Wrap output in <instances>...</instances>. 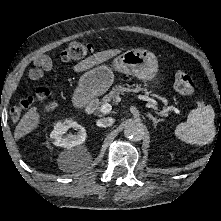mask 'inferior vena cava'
<instances>
[{"mask_svg": "<svg viewBox=\"0 0 221 221\" xmlns=\"http://www.w3.org/2000/svg\"><path fill=\"white\" fill-rule=\"evenodd\" d=\"M114 123V120L112 118H101L97 121V125L100 127H109Z\"/></svg>", "mask_w": 221, "mask_h": 221, "instance_id": "1", "label": "inferior vena cava"}]
</instances>
